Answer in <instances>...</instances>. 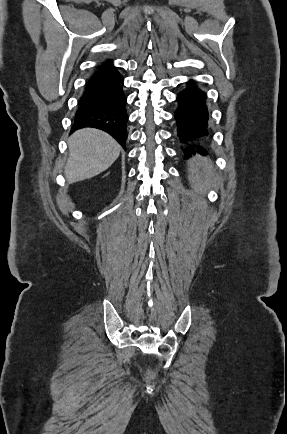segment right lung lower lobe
<instances>
[{
  "mask_svg": "<svg viewBox=\"0 0 287 434\" xmlns=\"http://www.w3.org/2000/svg\"><path fill=\"white\" fill-rule=\"evenodd\" d=\"M124 78L112 60L102 63L86 84L74 118L73 131L93 127L108 132L125 148L127 98Z\"/></svg>",
  "mask_w": 287,
  "mask_h": 434,
  "instance_id": "1",
  "label": "right lung lower lobe"
}]
</instances>
